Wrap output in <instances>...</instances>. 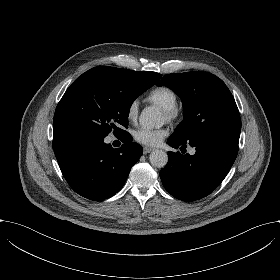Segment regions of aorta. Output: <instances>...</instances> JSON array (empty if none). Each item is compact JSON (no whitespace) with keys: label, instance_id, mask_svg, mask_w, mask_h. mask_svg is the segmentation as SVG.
I'll return each instance as SVG.
<instances>
[{"label":"aorta","instance_id":"762f6f07","mask_svg":"<svg viewBox=\"0 0 280 280\" xmlns=\"http://www.w3.org/2000/svg\"><path fill=\"white\" fill-rule=\"evenodd\" d=\"M160 110L157 107H147L139 117V123L145 130H151L160 127ZM149 161L152 166L162 168L167 164L168 155L165 151L155 149L149 155Z\"/></svg>","mask_w":280,"mask_h":280}]
</instances>
